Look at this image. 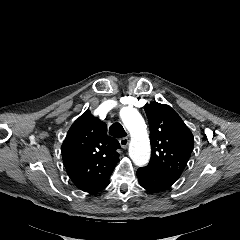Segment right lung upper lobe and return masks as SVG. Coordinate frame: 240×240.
Here are the masks:
<instances>
[{"label": "right lung upper lobe", "mask_w": 240, "mask_h": 240, "mask_svg": "<svg viewBox=\"0 0 240 240\" xmlns=\"http://www.w3.org/2000/svg\"><path fill=\"white\" fill-rule=\"evenodd\" d=\"M119 142L107 134V125L87 110L71 126L61 152L67 174L77 188L96 193L106 188L119 162Z\"/></svg>", "instance_id": "right-lung-upper-lobe-1"}]
</instances>
